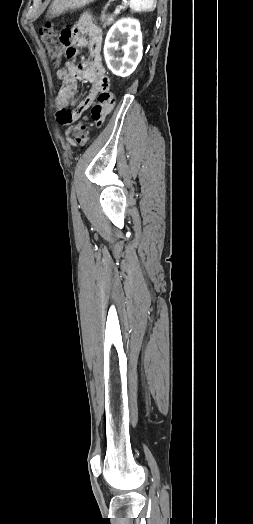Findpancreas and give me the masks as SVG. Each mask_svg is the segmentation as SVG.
Here are the masks:
<instances>
[{"label":"pancreas","instance_id":"pancreas-1","mask_svg":"<svg viewBox=\"0 0 253 524\" xmlns=\"http://www.w3.org/2000/svg\"><path fill=\"white\" fill-rule=\"evenodd\" d=\"M100 21H102L103 27L109 26L114 22V16H109V15H106L105 13H102L100 17Z\"/></svg>","mask_w":253,"mask_h":524}]
</instances>
